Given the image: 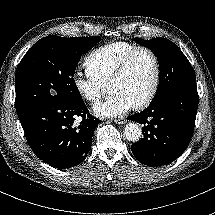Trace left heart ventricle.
<instances>
[{
	"label": "left heart ventricle",
	"instance_id": "left-heart-ventricle-1",
	"mask_svg": "<svg viewBox=\"0 0 215 215\" xmlns=\"http://www.w3.org/2000/svg\"><path fill=\"white\" fill-rule=\"evenodd\" d=\"M153 73L151 57L146 52H139L133 57L124 74L108 84V90L110 93L124 94L135 105L146 96Z\"/></svg>",
	"mask_w": 215,
	"mask_h": 215
}]
</instances>
